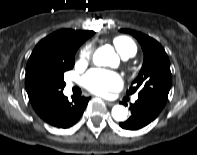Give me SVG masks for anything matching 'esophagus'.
I'll return each mask as SVG.
<instances>
[{
	"label": "esophagus",
	"mask_w": 197,
	"mask_h": 155,
	"mask_svg": "<svg viewBox=\"0 0 197 155\" xmlns=\"http://www.w3.org/2000/svg\"><path fill=\"white\" fill-rule=\"evenodd\" d=\"M105 103H106L108 106H113V105H114V102L107 101V100H105Z\"/></svg>",
	"instance_id": "1"
}]
</instances>
